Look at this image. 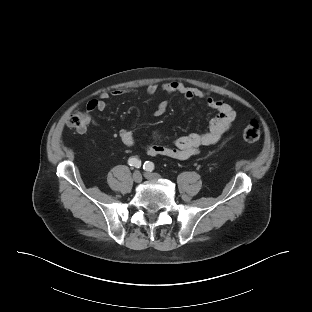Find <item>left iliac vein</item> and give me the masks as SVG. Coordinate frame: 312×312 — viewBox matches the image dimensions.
I'll use <instances>...</instances> for the list:
<instances>
[{
    "label": "left iliac vein",
    "mask_w": 312,
    "mask_h": 312,
    "mask_svg": "<svg viewBox=\"0 0 312 312\" xmlns=\"http://www.w3.org/2000/svg\"><path fill=\"white\" fill-rule=\"evenodd\" d=\"M144 176L149 180H158L160 178L159 174L150 172H146Z\"/></svg>",
    "instance_id": "left-iliac-vein-1"
}]
</instances>
